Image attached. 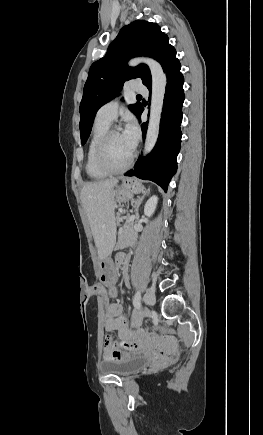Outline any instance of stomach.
Listing matches in <instances>:
<instances>
[{"label": "stomach", "mask_w": 263, "mask_h": 435, "mask_svg": "<svg viewBox=\"0 0 263 435\" xmlns=\"http://www.w3.org/2000/svg\"><path fill=\"white\" fill-rule=\"evenodd\" d=\"M142 191L143 186L140 182L132 178H123L122 184L114 191V196L116 201L121 203L132 199L134 194H139ZM100 269L103 286L107 288L109 298L119 299L122 292V287L119 285V269L113 268L108 258L101 260Z\"/></svg>", "instance_id": "1"}]
</instances>
